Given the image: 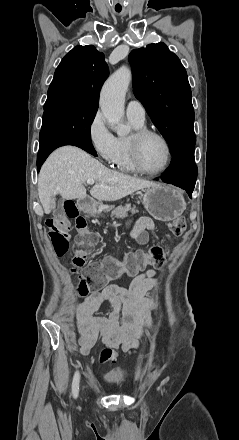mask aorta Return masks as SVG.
<instances>
[{
	"label": "aorta",
	"instance_id": "obj_1",
	"mask_svg": "<svg viewBox=\"0 0 239 440\" xmlns=\"http://www.w3.org/2000/svg\"><path fill=\"white\" fill-rule=\"evenodd\" d=\"M131 80V70L127 66H122L106 80L100 94L103 116L118 136H127L131 132V126L122 124L125 96Z\"/></svg>",
	"mask_w": 239,
	"mask_h": 440
}]
</instances>
